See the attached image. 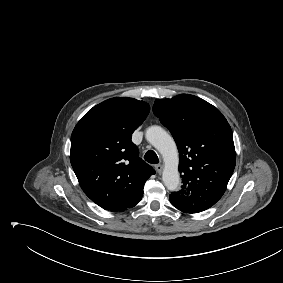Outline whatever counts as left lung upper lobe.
Returning <instances> with one entry per match:
<instances>
[{
  "instance_id": "obj_1",
  "label": "left lung upper lobe",
  "mask_w": 283,
  "mask_h": 283,
  "mask_svg": "<svg viewBox=\"0 0 283 283\" xmlns=\"http://www.w3.org/2000/svg\"><path fill=\"white\" fill-rule=\"evenodd\" d=\"M153 112L171 132L179 151L183 185L170 195L202 212L224 194L236 164L233 134L222 113L188 94L157 99Z\"/></svg>"
}]
</instances>
